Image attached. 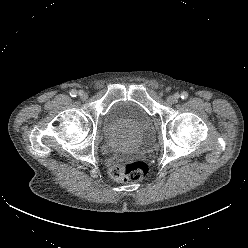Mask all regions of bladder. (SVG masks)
I'll use <instances>...</instances> for the list:
<instances>
[{
	"label": "bladder",
	"instance_id": "1",
	"mask_svg": "<svg viewBox=\"0 0 248 248\" xmlns=\"http://www.w3.org/2000/svg\"><path fill=\"white\" fill-rule=\"evenodd\" d=\"M102 131L108 145L117 151H146L152 145L151 118L129 101L115 102L107 111Z\"/></svg>",
	"mask_w": 248,
	"mask_h": 248
}]
</instances>
